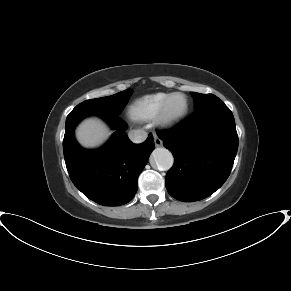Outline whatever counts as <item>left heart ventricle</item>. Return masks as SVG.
<instances>
[{"label": "left heart ventricle", "instance_id": "b2bd125f", "mask_svg": "<svg viewBox=\"0 0 291 291\" xmlns=\"http://www.w3.org/2000/svg\"><path fill=\"white\" fill-rule=\"evenodd\" d=\"M182 104H183V100H182V98H177V99L174 101V105H175L176 107H181Z\"/></svg>", "mask_w": 291, "mask_h": 291}]
</instances>
